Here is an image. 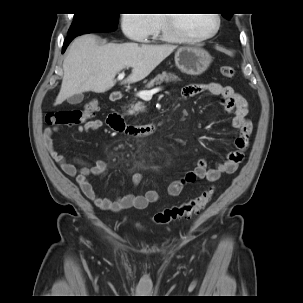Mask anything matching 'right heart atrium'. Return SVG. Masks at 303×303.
I'll list each match as a JSON object with an SVG mask.
<instances>
[{"label": "right heart atrium", "mask_w": 303, "mask_h": 303, "mask_svg": "<svg viewBox=\"0 0 303 303\" xmlns=\"http://www.w3.org/2000/svg\"><path fill=\"white\" fill-rule=\"evenodd\" d=\"M158 23L152 14H122L120 27L129 40L145 42L157 29Z\"/></svg>", "instance_id": "right-heart-atrium-1"}]
</instances>
